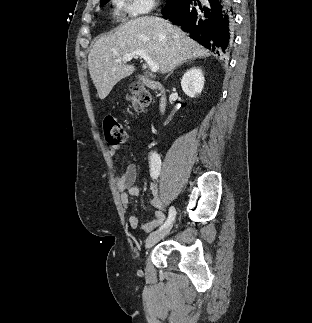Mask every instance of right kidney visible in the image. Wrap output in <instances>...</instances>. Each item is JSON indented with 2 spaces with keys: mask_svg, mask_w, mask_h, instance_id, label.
I'll return each mask as SVG.
<instances>
[{
  "mask_svg": "<svg viewBox=\"0 0 312 323\" xmlns=\"http://www.w3.org/2000/svg\"><path fill=\"white\" fill-rule=\"evenodd\" d=\"M204 76L201 68H190L184 74L181 80V86L186 96L190 98H198L204 88Z\"/></svg>",
  "mask_w": 312,
  "mask_h": 323,
  "instance_id": "right-kidney-1",
  "label": "right kidney"
}]
</instances>
